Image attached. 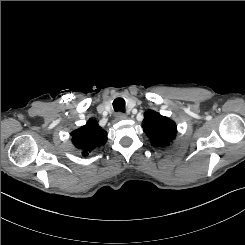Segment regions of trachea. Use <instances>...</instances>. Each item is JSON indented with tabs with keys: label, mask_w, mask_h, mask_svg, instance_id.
<instances>
[{
	"label": "trachea",
	"mask_w": 245,
	"mask_h": 245,
	"mask_svg": "<svg viewBox=\"0 0 245 245\" xmlns=\"http://www.w3.org/2000/svg\"><path fill=\"white\" fill-rule=\"evenodd\" d=\"M113 108L116 112H125V100L123 98H116L113 101Z\"/></svg>",
	"instance_id": "trachea-1"
}]
</instances>
